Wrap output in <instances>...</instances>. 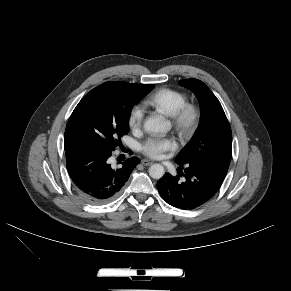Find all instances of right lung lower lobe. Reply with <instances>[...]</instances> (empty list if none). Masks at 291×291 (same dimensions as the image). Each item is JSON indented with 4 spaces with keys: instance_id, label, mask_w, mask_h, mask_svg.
<instances>
[{
    "instance_id": "98d812e1",
    "label": "right lung lower lobe",
    "mask_w": 291,
    "mask_h": 291,
    "mask_svg": "<svg viewBox=\"0 0 291 291\" xmlns=\"http://www.w3.org/2000/svg\"><path fill=\"white\" fill-rule=\"evenodd\" d=\"M111 154L112 150L87 146L66 151L68 173L78 194L89 203L115 198L140 162L137 157H131L119 168H112L108 160Z\"/></svg>"
}]
</instances>
